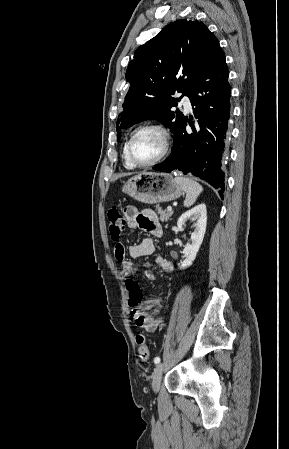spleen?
I'll return each instance as SVG.
<instances>
[{"label": "spleen", "instance_id": "obj_1", "mask_svg": "<svg viewBox=\"0 0 289 449\" xmlns=\"http://www.w3.org/2000/svg\"><path fill=\"white\" fill-rule=\"evenodd\" d=\"M175 181L186 192V199L184 201V206L185 207L192 206L197 200L200 193L203 191V187L198 182L181 175L176 176Z\"/></svg>", "mask_w": 289, "mask_h": 449}]
</instances>
